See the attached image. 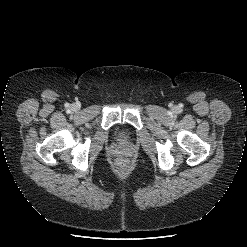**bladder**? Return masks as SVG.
Segmentation results:
<instances>
[{"instance_id": "obj_1", "label": "bladder", "mask_w": 247, "mask_h": 247, "mask_svg": "<svg viewBox=\"0 0 247 247\" xmlns=\"http://www.w3.org/2000/svg\"><path fill=\"white\" fill-rule=\"evenodd\" d=\"M117 136L120 140H127L129 137L128 133L124 130L118 131Z\"/></svg>"}]
</instances>
